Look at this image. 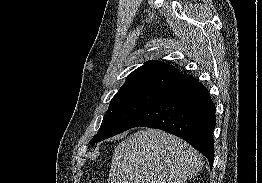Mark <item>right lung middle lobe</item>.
<instances>
[{
  "label": "right lung middle lobe",
  "instance_id": "dd1d6c3e",
  "mask_svg": "<svg viewBox=\"0 0 262 183\" xmlns=\"http://www.w3.org/2000/svg\"><path fill=\"white\" fill-rule=\"evenodd\" d=\"M158 91L143 90L117 93L110 101L98 133L91 139L90 145L117 135L137 116L153 99Z\"/></svg>",
  "mask_w": 262,
  "mask_h": 183
}]
</instances>
